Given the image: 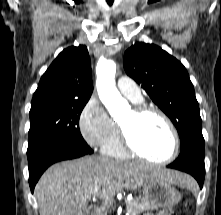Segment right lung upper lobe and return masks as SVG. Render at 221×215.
Segmentation results:
<instances>
[{
  "label": "right lung upper lobe",
  "instance_id": "obj_1",
  "mask_svg": "<svg viewBox=\"0 0 221 215\" xmlns=\"http://www.w3.org/2000/svg\"><path fill=\"white\" fill-rule=\"evenodd\" d=\"M93 91L86 46L64 49L41 77L32 105L47 101H88Z\"/></svg>",
  "mask_w": 221,
  "mask_h": 215
}]
</instances>
